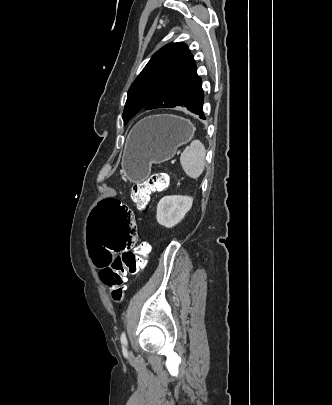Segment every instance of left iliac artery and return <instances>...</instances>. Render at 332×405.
<instances>
[{
    "instance_id": "left-iliac-artery-1",
    "label": "left iliac artery",
    "mask_w": 332,
    "mask_h": 405,
    "mask_svg": "<svg viewBox=\"0 0 332 405\" xmlns=\"http://www.w3.org/2000/svg\"><path fill=\"white\" fill-rule=\"evenodd\" d=\"M120 341L123 347H125L127 345V338H126V334L125 332H122L121 336H120Z\"/></svg>"
}]
</instances>
